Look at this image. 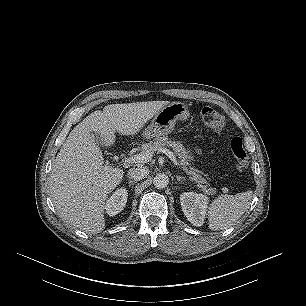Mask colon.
<instances>
[{"label":"colon","instance_id":"obj_1","mask_svg":"<svg viewBox=\"0 0 306 306\" xmlns=\"http://www.w3.org/2000/svg\"><path fill=\"white\" fill-rule=\"evenodd\" d=\"M200 117L203 124L214 131H220L226 124L225 116L212 107H203L200 110ZM230 150L234 157L235 165L238 171H244L249 164V157L243 145V141L239 137H234L230 141Z\"/></svg>","mask_w":306,"mask_h":306}]
</instances>
